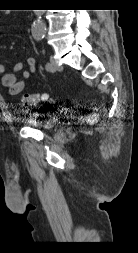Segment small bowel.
I'll return each mask as SVG.
<instances>
[{"instance_id":"small-bowel-1","label":"small bowel","mask_w":138,"mask_h":253,"mask_svg":"<svg viewBox=\"0 0 138 253\" xmlns=\"http://www.w3.org/2000/svg\"><path fill=\"white\" fill-rule=\"evenodd\" d=\"M36 70V61L33 57L26 60V68L23 62L14 64L10 71H7L5 66L0 63L1 83L7 89L9 95H19L25 86L27 80ZM22 72V76L18 77L17 73Z\"/></svg>"}]
</instances>
